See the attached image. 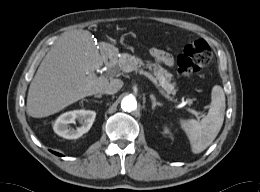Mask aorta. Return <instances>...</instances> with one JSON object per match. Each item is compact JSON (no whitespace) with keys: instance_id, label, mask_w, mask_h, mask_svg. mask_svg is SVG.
<instances>
[{"instance_id":"obj_1","label":"aorta","mask_w":260,"mask_h":192,"mask_svg":"<svg viewBox=\"0 0 260 192\" xmlns=\"http://www.w3.org/2000/svg\"><path fill=\"white\" fill-rule=\"evenodd\" d=\"M121 108L126 112L134 111L137 108V101L134 96L128 95L121 101Z\"/></svg>"}]
</instances>
